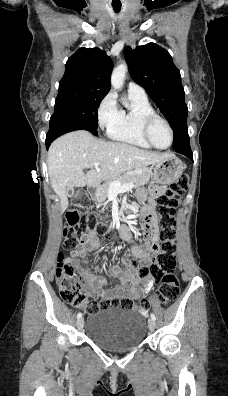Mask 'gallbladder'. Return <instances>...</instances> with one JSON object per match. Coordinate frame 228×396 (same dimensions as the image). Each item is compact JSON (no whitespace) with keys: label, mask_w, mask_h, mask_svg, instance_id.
I'll return each mask as SVG.
<instances>
[{"label":"gallbladder","mask_w":228,"mask_h":396,"mask_svg":"<svg viewBox=\"0 0 228 396\" xmlns=\"http://www.w3.org/2000/svg\"><path fill=\"white\" fill-rule=\"evenodd\" d=\"M69 192L73 194L74 193V188H70Z\"/></svg>","instance_id":"bac80fb5"}]
</instances>
